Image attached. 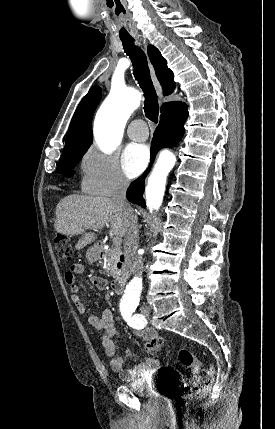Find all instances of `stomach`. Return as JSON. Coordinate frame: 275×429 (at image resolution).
I'll return each mask as SVG.
<instances>
[{
	"mask_svg": "<svg viewBox=\"0 0 275 429\" xmlns=\"http://www.w3.org/2000/svg\"><path fill=\"white\" fill-rule=\"evenodd\" d=\"M86 258L89 262H95L100 259V249L97 245L90 247L86 252Z\"/></svg>",
	"mask_w": 275,
	"mask_h": 429,
	"instance_id": "stomach-1",
	"label": "stomach"
}]
</instances>
